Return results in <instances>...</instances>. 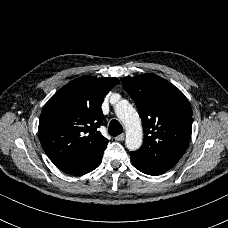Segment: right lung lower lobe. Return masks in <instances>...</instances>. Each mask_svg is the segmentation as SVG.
Segmentation results:
<instances>
[{
    "mask_svg": "<svg viewBox=\"0 0 228 228\" xmlns=\"http://www.w3.org/2000/svg\"><path fill=\"white\" fill-rule=\"evenodd\" d=\"M103 152L104 150L100 151L98 154L93 156L90 160H88L87 162L79 166L66 168V169H63L62 171L75 176L89 173L100 165L102 161Z\"/></svg>",
    "mask_w": 228,
    "mask_h": 228,
    "instance_id": "obj_1",
    "label": "right lung lower lobe"
}]
</instances>
